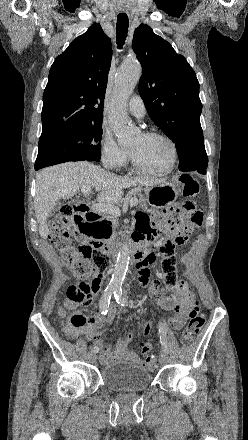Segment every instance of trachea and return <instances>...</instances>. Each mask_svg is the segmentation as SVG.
<instances>
[{
	"label": "trachea",
	"instance_id": "1",
	"mask_svg": "<svg viewBox=\"0 0 248 440\" xmlns=\"http://www.w3.org/2000/svg\"><path fill=\"white\" fill-rule=\"evenodd\" d=\"M128 27H129V19L128 16L124 13H121L117 17V24H116V43L118 45V48L121 49L122 46L125 44V40L128 33Z\"/></svg>",
	"mask_w": 248,
	"mask_h": 440
}]
</instances>
